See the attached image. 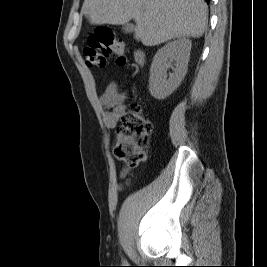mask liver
Returning <instances> with one entry per match:
<instances>
[{
  "label": "liver",
  "instance_id": "obj_1",
  "mask_svg": "<svg viewBox=\"0 0 267 267\" xmlns=\"http://www.w3.org/2000/svg\"><path fill=\"white\" fill-rule=\"evenodd\" d=\"M207 11L204 0H84L81 10L93 25H121L133 19L134 38L145 46L201 37Z\"/></svg>",
  "mask_w": 267,
  "mask_h": 267
}]
</instances>
